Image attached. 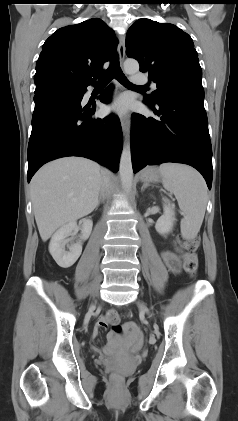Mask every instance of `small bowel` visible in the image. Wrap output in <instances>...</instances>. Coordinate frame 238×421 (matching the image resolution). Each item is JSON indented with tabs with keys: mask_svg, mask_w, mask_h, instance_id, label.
<instances>
[{
	"mask_svg": "<svg viewBox=\"0 0 238 421\" xmlns=\"http://www.w3.org/2000/svg\"><path fill=\"white\" fill-rule=\"evenodd\" d=\"M162 258H163V261L165 262L166 266L169 268V270H171L172 272L179 271L180 261H179V258H178L177 254L175 252L164 251V252H162ZM114 313H116V312L111 310V311H108L105 315H103L102 317L99 318V320L97 321V323L94 327V330H93L94 336H97L99 334L100 330L105 329L110 324V316ZM126 327L131 332V340L133 342L139 341L140 340V331H139L138 326L134 322H130V323L126 324ZM109 340H110L111 343L114 344V339L111 335L109 336Z\"/></svg>",
	"mask_w": 238,
	"mask_h": 421,
	"instance_id": "small-bowel-1",
	"label": "small bowel"
}]
</instances>
